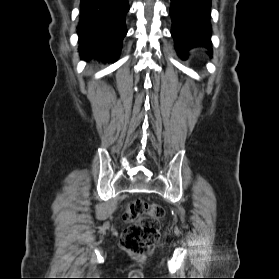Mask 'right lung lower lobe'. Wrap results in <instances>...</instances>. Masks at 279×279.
<instances>
[{"label": "right lung lower lobe", "instance_id": "1", "mask_svg": "<svg viewBox=\"0 0 279 279\" xmlns=\"http://www.w3.org/2000/svg\"><path fill=\"white\" fill-rule=\"evenodd\" d=\"M78 25L80 54L115 61L127 33L128 0H81Z\"/></svg>", "mask_w": 279, "mask_h": 279}]
</instances>
